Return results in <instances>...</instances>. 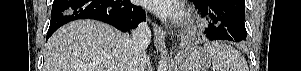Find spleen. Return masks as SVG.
<instances>
[{
    "mask_svg": "<svg viewBox=\"0 0 301 71\" xmlns=\"http://www.w3.org/2000/svg\"><path fill=\"white\" fill-rule=\"evenodd\" d=\"M204 51L210 55L213 71H249L242 54L228 44L207 42Z\"/></svg>",
    "mask_w": 301,
    "mask_h": 71,
    "instance_id": "3e777b00",
    "label": "spleen"
}]
</instances>
